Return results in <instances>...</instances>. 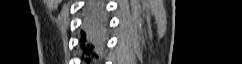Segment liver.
<instances>
[{
    "label": "liver",
    "mask_w": 242,
    "mask_h": 64,
    "mask_svg": "<svg viewBox=\"0 0 242 64\" xmlns=\"http://www.w3.org/2000/svg\"><path fill=\"white\" fill-rule=\"evenodd\" d=\"M97 29V30H96ZM86 33L91 42L99 41L104 33V29L95 28L93 23L88 22L86 24Z\"/></svg>",
    "instance_id": "liver-1"
}]
</instances>
